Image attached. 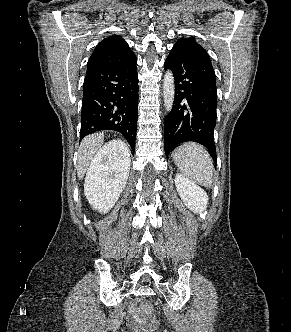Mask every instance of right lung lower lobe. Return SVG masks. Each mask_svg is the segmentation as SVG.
<instances>
[{
  "label": "right lung lower lobe",
  "mask_w": 291,
  "mask_h": 332,
  "mask_svg": "<svg viewBox=\"0 0 291 332\" xmlns=\"http://www.w3.org/2000/svg\"><path fill=\"white\" fill-rule=\"evenodd\" d=\"M137 59L87 70L83 84L81 138L100 130L125 136L132 151L138 114Z\"/></svg>",
  "instance_id": "1"
}]
</instances>
